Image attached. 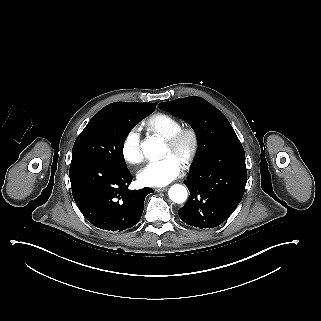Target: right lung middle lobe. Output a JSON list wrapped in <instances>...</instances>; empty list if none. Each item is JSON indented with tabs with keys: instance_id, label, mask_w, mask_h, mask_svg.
<instances>
[{
	"instance_id": "dd1d6c3e",
	"label": "right lung middle lobe",
	"mask_w": 321,
	"mask_h": 321,
	"mask_svg": "<svg viewBox=\"0 0 321 321\" xmlns=\"http://www.w3.org/2000/svg\"><path fill=\"white\" fill-rule=\"evenodd\" d=\"M151 113L122 116L107 105L91 118L76 139L72 161L91 160L127 168L123 157L125 139L133 127Z\"/></svg>"
}]
</instances>
